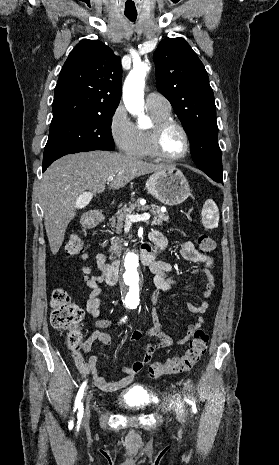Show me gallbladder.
Instances as JSON below:
<instances>
[{"label": "gallbladder", "instance_id": "bac80fb5", "mask_svg": "<svg viewBox=\"0 0 279 465\" xmlns=\"http://www.w3.org/2000/svg\"><path fill=\"white\" fill-rule=\"evenodd\" d=\"M76 206H77L78 208L84 207V206H85L84 200L78 199V201L76 202Z\"/></svg>", "mask_w": 279, "mask_h": 465}]
</instances>
